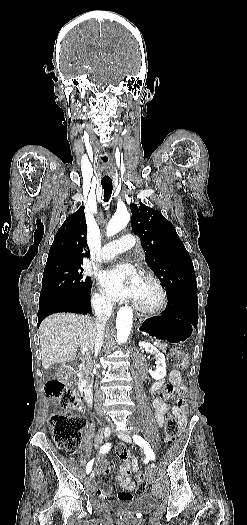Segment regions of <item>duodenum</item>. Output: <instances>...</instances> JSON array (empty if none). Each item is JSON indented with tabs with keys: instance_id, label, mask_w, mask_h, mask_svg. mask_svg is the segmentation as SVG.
Instances as JSON below:
<instances>
[{
	"instance_id": "duodenum-1",
	"label": "duodenum",
	"mask_w": 247,
	"mask_h": 525,
	"mask_svg": "<svg viewBox=\"0 0 247 525\" xmlns=\"http://www.w3.org/2000/svg\"><path fill=\"white\" fill-rule=\"evenodd\" d=\"M70 369L74 373L79 390L88 406L93 405V390L90 382L86 378V364L82 359H75L70 364Z\"/></svg>"
}]
</instances>
